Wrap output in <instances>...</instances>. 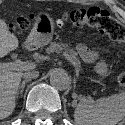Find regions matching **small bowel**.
I'll list each match as a JSON object with an SVG mask.
<instances>
[{"mask_svg":"<svg viewBox=\"0 0 125 125\" xmlns=\"http://www.w3.org/2000/svg\"><path fill=\"white\" fill-rule=\"evenodd\" d=\"M77 49L80 55L86 58H89V56H91V50H89L86 46L79 45Z\"/></svg>","mask_w":125,"mask_h":125,"instance_id":"1","label":"small bowel"}]
</instances>
